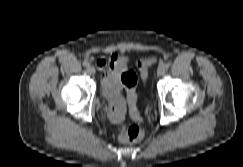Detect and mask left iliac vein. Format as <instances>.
Returning a JSON list of instances; mask_svg holds the SVG:
<instances>
[{"label": "left iliac vein", "instance_id": "obj_1", "mask_svg": "<svg viewBox=\"0 0 243 167\" xmlns=\"http://www.w3.org/2000/svg\"><path fill=\"white\" fill-rule=\"evenodd\" d=\"M165 71H166L165 67L162 66V65H160V66L158 67V69H157V74H158L159 76H162V75L165 74Z\"/></svg>", "mask_w": 243, "mask_h": 167}]
</instances>
